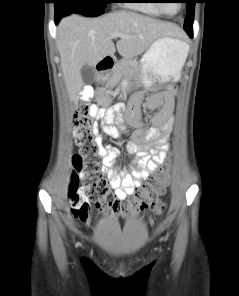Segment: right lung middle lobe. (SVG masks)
Segmentation results:
<instances>
[{"instance_id": "right-lung-middle-lobe-1", "label": "right lung middle lobe", "mask_w": 239, "mask_h": 296, "mask_svg": "<svg viewBox=\"0 0 239 296\" xmlns=\"http://www.w3.org/2000/svg\"><path fill=\"white\" fill-rule=\"evenodd\" d=\"M111 0H56L55 8L64 15L73 12L86 15L98 16L105 10L106 4Z\"/></svg>"}]
</instances>
